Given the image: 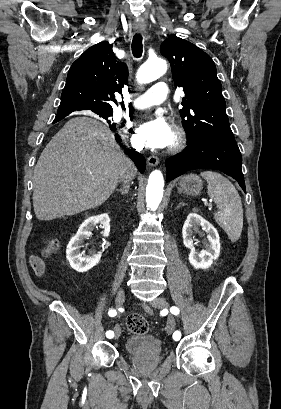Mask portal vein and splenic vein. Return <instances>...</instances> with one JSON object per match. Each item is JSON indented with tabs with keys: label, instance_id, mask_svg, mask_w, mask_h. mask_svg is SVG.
<instances>
[{
	"label": "portal vein and splenic vein",
	"instance_id": "obj_1",
	"mask_svg": "<svg viewBox=\"0 0 281 409\" xmlns=\"http://www.w3.org/2000/svg\"><path fill=\"white\" fill-rule=\"evenodd\" d=\"M203 200H212V198H211V197H208V198H207V197H200V198H199V201H200V202H202ZM216 213H217V214H220V213H221V210H220V209H217V210H216Z\"/></svg>",
	"mask_w": 281,
	"mask_h": 409
}]
</instances>
